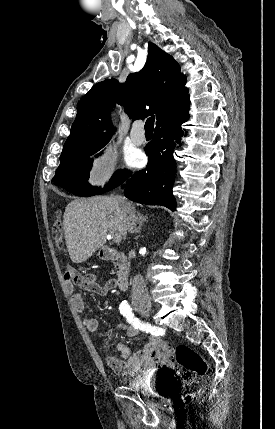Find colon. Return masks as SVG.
<instances>
[{
    "instance_id": "1",
    "label": "colon",
    "mask_w": 275,
    "mask_h": 429,
    "mask_svg": "<svg viewBox=\"0 0 275 429\" xmlns=\"http://www.w3.org/2000/svg\"><path fill=\"white\" fill-rule=\"evenodd\" d=\"M52 237L56 246L61 248L63 245V232L58 222L52 228ZM69 276L70 268L64 274V277ZM157 357L161 366L171 376L187 382L206 375L209 369L208 362L197 351L187 345H178L173 348L169 343L162 341ZM196 398L197 393H189L185 395L184 402L190 404Z\"/></svg>"
}]
</instances>
